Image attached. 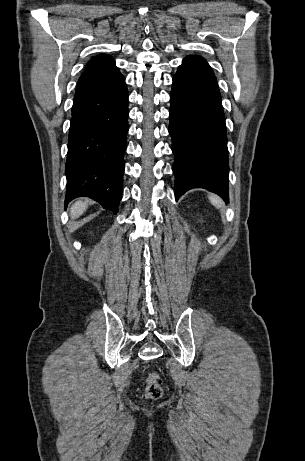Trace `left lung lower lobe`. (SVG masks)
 Wrapping results in <instances>:
<instances>
[{"label": "left lung lower lobe", "instance_id": "1", "mask_svg": "<svg viewBox=\"0 0 305 461\" xmlns=\"http://www.w3.org/2000/svg\"><path fill=\"white\" fill-rule=\"evenodd\" d=\"M170 102L176 199L192 188H204L228 202L225 116L216 77L203 58L183 60Z\"/></svg>", "mask_w": 305, "mask_h": 461}]
</instances>
